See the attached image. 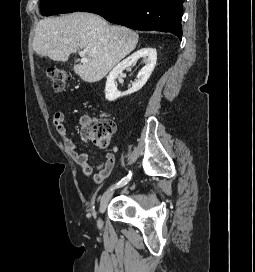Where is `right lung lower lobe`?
Returning a JSON list of instances; mask_svg holds the SVG:
<instances>
[{
	"instance_id": "98d812e1",
	"label": "right lung lower lobe",
	"mask_w": 255,
	"mask_h": 272,
	"mask_svg": "<svg viewBox=\"0 0 255 272\" xmlns=\"http://www.w3.org/2000/svg\"><path fill=\"white\" fill-rule=\"evenodd\" d=\"M183 0H93L81 12L135 30L163 31L182 38Z\"/></svg>"
}]
</instances>
